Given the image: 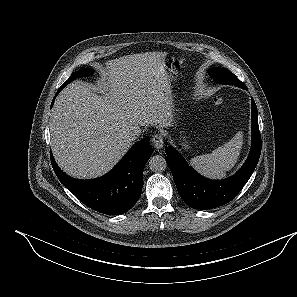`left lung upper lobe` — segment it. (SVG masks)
Returning a JSON list of instances; mask_svg holds the SVG:
<instances>
[{
    "instance_id": "obj_1",
    "label": "left lung upper lobe",
    "mask_w": 297,
    "mask_h": 297,
    "mask_svg": "<svg viewBox=\"0 0 297 297\" xmlns=\"http://www.w3.org/2000/svg\"><path fill=\"white\" fill-rule=\"evenodd\" d=\"M208 74L216 83L235 85L243 89L246 88V85L243 82H241L232 72L226 69L214 67L208 70Z\"/></svg>"
}]
</instances>
